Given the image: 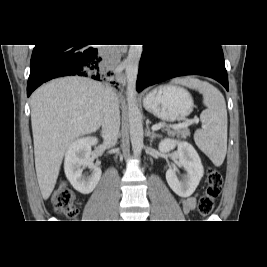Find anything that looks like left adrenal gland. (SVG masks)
<instances>
[{"mask_svg": "<svg viewBox=\"0 0 267 267\" xmlns=\"http://www.w3.org/2000/svg\"><path fill=\"white\" fill-rule=\"evenodd\" d=\"M146 136L150 137L151 141L154 139V138H160L161 135L155 133L154 131H150V128L149 126L147 125V131H146Z\"/></svg>", "mask_w": 267, "mask_h": 267, "instance_id": "obj_1", "label": "left adrenal gland"}]
</instances>
